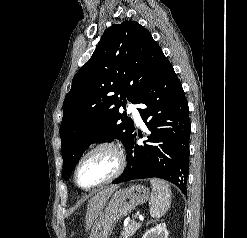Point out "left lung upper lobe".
<instances>
[{"label": "left lung upper lobe", "instance_id": "5c2ea615", "mask_svg": "<svg viewBox=\"0 0 247 238\" xmlns=\"http://www.w3.org/2000/svg\"><path fill=\"white\" fill-rule=\"evenodd\" d=\"M165 58L151 33L135 21L104 32L90 60L74 76L63 103L64 179L90 144L116 138L127 146L134 123L119 108L127 100L140 103Z\"/></svg>", "mask_w": 247, "mask_h": 238}]
</instances>
